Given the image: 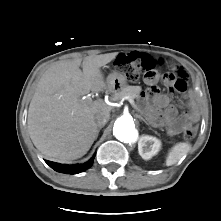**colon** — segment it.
Returning <instances> with one entry per match:
<instances>
[{"mask_svg":"<svg viewBox=\"0 0 221 221\" xmlns=\"http://www.w3.org/2000/svg\"><path fill=\"white\" fill-rule=\"evenodd\" d=\"M162 63L161 59H156L148 55H141L140 57L131 56L130 54L119 55L116 58L115 65L117 69L122 72L130 81H137L144 77L154 78L156 73V66ZM163 80L172 92H184L188 86V80L180 78L174 73H166ZM197 132L195 125L188 126L183 133L186 140L194 138Z\"/></svg>","mask_w":221,"mask_h":221,"instance_id":"colon-1","label":"colon"}]
</instances>
